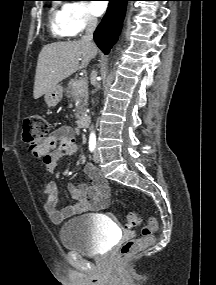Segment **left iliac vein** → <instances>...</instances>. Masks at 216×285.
I'll list each match as a JSON object with an SVG mask.
<instances>
[{"label": "left iliac vein", "instance_id": "obj_1", "mask_svg": "<svg viewBox=\"0 0 216 285\" xmlns=\"http://www.w3.org/2000/svg\"><path fill=\"white\" fill-rule=\"evenodd\" d=\"M93 160H94L95 163H98L100 161V154H99V151H98L97 148H96V150L94 152Z\"/></svg>", "mask_w": 216, "mask_h": 285}]
</instances>
